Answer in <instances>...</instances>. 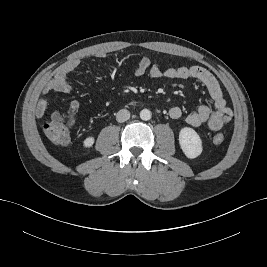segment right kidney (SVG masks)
I'll return each mask as SVG.
<instances>
[{"label":"right kidney","instance_id":"right-kidney-1","mask_svg":"<svg viewBox=\"0 0 267 267\" xmlns=\"http://www.w3.org/2000/svg\"><path fill=\"white\" fill-rule=\"evenodd\" d=\"M94 144V138L93 137H87L84 141H83V146L85 148H90L92 145Z\"/></svg>","mask_w":267,"mask_h":267}]
</instances>
